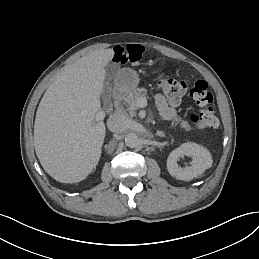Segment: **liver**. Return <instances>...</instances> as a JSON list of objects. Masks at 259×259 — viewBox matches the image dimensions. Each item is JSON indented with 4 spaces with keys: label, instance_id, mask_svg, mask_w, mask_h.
<instances>
[{
    "label": "liver",
    "instance_id": "obj_1",
    "mask_svg": "<svg viewBox=\"0 0 259 259\" xmlns=\"http://www.w3.org/2000/svg\"><path fill=\"white\" fill-rule=\"evenodd\" d=\"M113 49L92 50L66 66L45 91L34 123L43 169L60 183H79L97 167L106 127L96 123Z\"/></svg>",
    "mask_w": 259,
    "mask_h": 259
}]
</instances>
